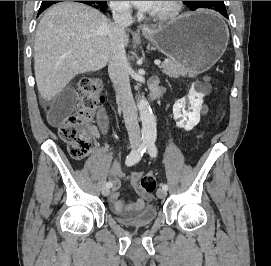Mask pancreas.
<instances>
[{"instance_id":"1","label":"pancreas","mask_w":271,"mask_h":266,"mask_svg":"<svg viewBox=\"0 0 271 266\" xmlns=\"http://www.w3.org/2000/svg\"><path fill=\"white\" fill-rule=\"evenodd\" d=\"M162 73L171 78H178L179 76L187 75L185 67L175 59L165 60L160 66ZM193 76V75H191Z\"/></svg>"}]
</instances>
